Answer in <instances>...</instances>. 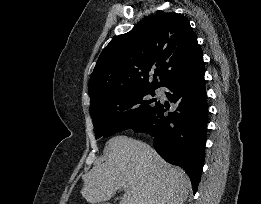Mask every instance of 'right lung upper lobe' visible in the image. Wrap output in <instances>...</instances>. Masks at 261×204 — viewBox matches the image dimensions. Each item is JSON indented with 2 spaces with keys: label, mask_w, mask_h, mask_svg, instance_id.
I'll return each instance as SVG.
<instances>
[{
  "label": "right lung upper lobe",
  "mask_w": 261,
  "mask_h": 204,
  "mask_svg": "<svg viewBox=\"0 0 261 204\" xmlns=\"http://www.w3.org/2000/svg\"><path fill=\"white\" fill-rule=\"evenodd\" d=\"M201 59L185 17L174 12L147 17L102 51L89 80L90 107L122 92L163 87Z\"/></svg>",
  "instance_id": "1"
}]
</instances>
